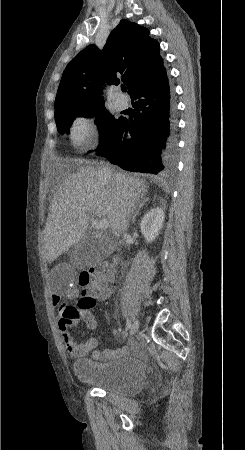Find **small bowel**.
<instances>
[{"label":"small bowel","mask_w":245,"mask_h":450,"mask_svg":"<svg viewBox=\"0 0 245 450\" xmlns=\"http://www.w3.org/2000/svg\"><path fill=\"white\" fill-rule=\"evenodd\" d=\"M113 292V288L108 285L105 287L94 286L92 289L91 296L94 301L96 300H104L111 296ZM75 292L69 293L68 297H74ZM62 301V296L60 295H52L50 297V304L54 307L60 304ZM92 309L89 310H79L80 319L84 322V324L91 330L96 331L98 329L97 321L95 320L94 315L92 314ZM59 329L61 333L62 340L65 344L67 351L75 356H82L92 352V356L94 358H99L108 352L96 350L98 345V339L96 337H90L86 339L84 342L78 344L75 342L73 337L69 332V327L59 321ZM116 333V330H113ZM128 351L127 347H123L119 350L114 351L113 355H122Z\"/></svg>","instance_id":"obj_1"}]
</instances>
